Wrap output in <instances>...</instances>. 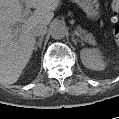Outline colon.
Here are the masks:
<instances>
[{"instance_id": "obj_1", "label": "colon", "mask_w": 119, "mask_h": 119, "mask_svg": "<svg viewBox=\"0 0 119 119\" xmlns=\"http://www.w3.org/2000/svg\"><path fill=\"white\" fill-rule=\"evenodd\" d=\"M112 17L111 20L113 23H117L119 20V2L114 0L111 2ZM113 34L116 41H119V25L116 24L113 28Z\"/></svg>"}]
</instances>
